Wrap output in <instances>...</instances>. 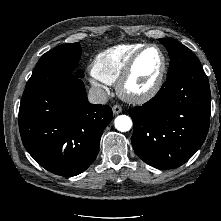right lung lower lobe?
<instances>
[{
	"label": "right lung lower lobe",
	"mask_w": 221,
	"mask_h": 221,
	"mask_svg": "<svg viewBox=\"0 0 221 221\" xmlns=\"http://www.w3.org/2000/svg\"><path fill=\"white\" fill-rule=\"evenodd\" d=\"M108 105L88 102L80 77H31L19 109V129L28 153L46 170L75 176L95 160L112 120Z\"/></svg>",
	"instance_id": "obj_1"
}]
</instances>
